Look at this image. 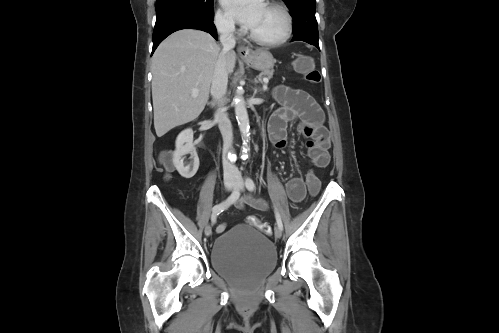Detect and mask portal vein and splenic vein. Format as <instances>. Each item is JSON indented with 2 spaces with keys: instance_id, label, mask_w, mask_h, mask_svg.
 I'll list each match as a JSON object with an SVG mask.
<instances>
[{
  "instance_id": "obj_1",
  "label": "portal vein and splenic vein",
  "mask_w": 499,
  "mask_h": 333,
  "mask_svg": "<svg viewBox=\"0 0 499 333\" xmlns=\"http://www.w3.org/2000/svg\"><path fill=\"white\" fill-rule=\"evenodd\" d=\"M263 81H264L265 83H268V79H266V78H265V79H263ZM264 89H267L266 85L264 86ZM197 94H198V89H197V88L193 89V90H192V96H193V97H195V96H197Z\"/></svg>"
}]
</instances>
